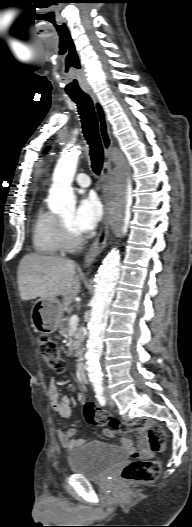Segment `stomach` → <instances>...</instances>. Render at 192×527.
I'll return each instance as SVG.
<instances>
[{
    "label": "stomach",
    "mask_w": 192,
    "mask_h": 527,
    "mask_svg": "<svg viewBox=\"0 0 192 527\" xmlns=\"http://www.w3.org/2000/svg\"><path fill=\"white\" fill-rule=\"evenodd\" d=\"M63 306L57 299L40 298L32 308V323L43 334L55 332L61 324Z\"/></svg>",
    "instance_id": "stomach-1"
}]
</instances>
